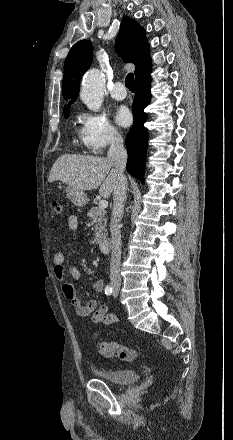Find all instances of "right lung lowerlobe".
Instances as JSON below:
<instances>
[{
    "label": "right lung lower lobe",
    "instance_id": "1",
    "mask_svg": "<svg viewBox=\"0 0 233 440\" xmlns=\"http://www.w3.org/2000/svg\"><path fill=\"white\" fill-rule=\"evenodd\" d=\"M150 72L135 81V98L133 101L134 124L126 136L128 150L127 171L143 182L148 133L143 124L147 119L144 108L149 104Z\"/></svg>",
    "mask_w": 233,
    "mask_h": 440
}]
</instances>
